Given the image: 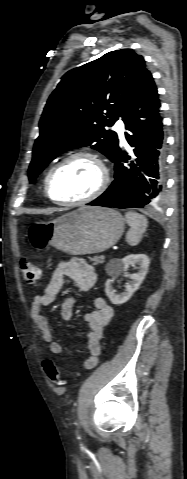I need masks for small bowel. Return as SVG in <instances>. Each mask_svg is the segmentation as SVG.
<instances>
[{
  "instance_id": "obj_1",
  "label": "small bowel",
  "mask_w": 187,
  "mask_h": 479,
  "mask_svg": "<svg viewBox=\"0 0 187 479\" xmlns=\"http://www.w3.org/2000/svg\"><path fill=\"white\" fill-rule=\"evenodd\" d=\"M66 278L71 279L80 291L87 292L94 286L97 277L93 266L84 259L70 258L61 260L57 263L51 279L43 291L35 296L30 307V316L36 328L41 332L43 341L47 343L50 352L53 354H60L62 345L54 340L48 321L42 313V308L57 299ZM75 301L74 296H68L63 302L60 309V315L63 320L71 321ZM94 306L95 309L84 316L90 351V357L84 362L85 369H93L97 365L101 351L100 341L102 333L114 315L113 308L103 297H96Z\"/></svg>"
}]
</instances>
